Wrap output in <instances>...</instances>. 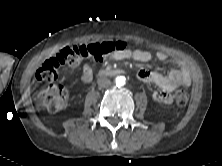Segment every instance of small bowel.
I'll list each match as a JSON object with an SVG mask.
<instances>
[{"mask_svg": "<svg viewBox=\"0 0 222 166\" xmlns=\"http://www.w3.org/2000/svg\"><path fill=\"white\" fill-rule=\"evenodd\" d=\"M114 60L133 59L140 62H149L153 59L151 52L146 50H131L125 48L110 56ZM156 58L159 61H167L168 56L164 52H158ZM176 68L167 76L160 73L140 70L137 74L139 80L153 83L158 87L153 93V98L157 102L170 104L173 101L172 93L179 87H188L191 84V77L187 68L179 61L175 62ZM93 70L89 64H84L81 72V80L88 83L92 80Z\"/></svg>", "mask_w": 222, "mask_h": 166, "instance_id": "small-bowel-1", "label": "small bowel"}]
</instances>
